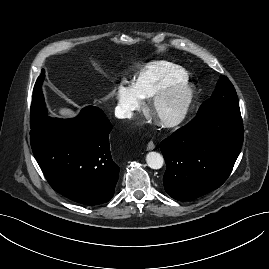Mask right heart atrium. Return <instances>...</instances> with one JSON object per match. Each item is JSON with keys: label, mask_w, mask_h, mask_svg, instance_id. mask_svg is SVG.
I'll use <instances>...</instances> for the list:
<instances>
[{"label": "right heart atrium", "mask_w": 269, "mask_h": 269, "mask_svg": "<svg viewBox=\"0 0 269 269\" xmlns=\"http://www.w3.org/2000/svg\"><path fill=\"white\" fill-rule=\"evenodd\" d=\"M117 112L124 118H131L143 105L142 98L133 85L121 83L116 88Z\"/></svg>", "instance_id": "obj_1"}]
</instances>
